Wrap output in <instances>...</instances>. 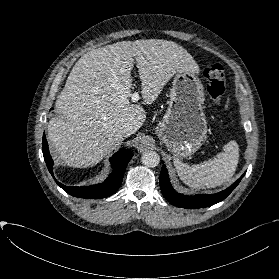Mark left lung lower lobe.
Returning <instances> with one entry per match:
<instances>
[{
	"label": "left lung lower lobe",
	"mask_w": 279,
	"mask_h": 279,
	"mask_svg": "<svg viewBox=\"0 0 279 279\" xmlns=\"http://www.w3.org/2000/svg\"><path fill=\"white\" fill-rule=\"evenodd\" d=\"M245 173L241 176V178ZM240 179L234 182L227 189L216 194H201L186 196L177 193L171 186L166 167L163 165L160 172V188L163 196L173 205L181 208H205L224 200L239 184Z\"/></svg>",
	"instance_id": "0a47b994"
}]
</instances>
